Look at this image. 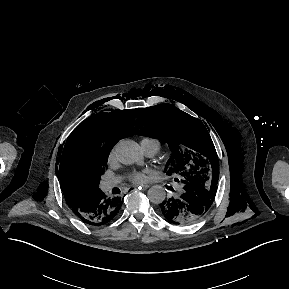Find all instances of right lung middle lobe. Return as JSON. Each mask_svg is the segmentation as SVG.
I'll return each instance as SVG.
<instances>
[{"instance_id": "obj_1", "label": "right lung middle lobe", "mask_w": 289, "mask_h": 289, "mask_svg": "<svg viewBox=\"0 0 289 289\" xmlns=\"http://www.w3.org/2000/svg\"><path fill=\"white\" fill-rule=\"evenodd\" d=\"M107 158L108 157H104L102 158V160L99 162V164L96 167V172L95 175L93 176V178L91 179V183L96 186L99 187V182H100V177L101 174L105 171V169L107 168Z\"/></svg>"}]
</instances>
